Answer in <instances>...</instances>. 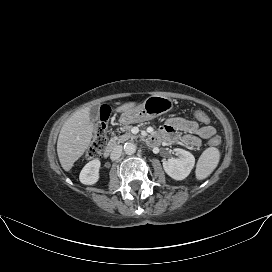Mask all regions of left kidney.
Returning a JSON list of instances; mask_svg holds the SVG:
<instances>
[{"mask_svg": "<svg viewBox=\"0 0 272 272\" xmlns=\"http://www.w3.org/2000/svg\"><path fill=\"white\" fill-rule=\"evenodd\" d=\"M177 158H170L163 162L165 172L175 180L185 179L191 172L195 164L194 156L183 149H174Z\"/></svg>", "mask_w": 272, "mask_h": 272, "instance_id": "left-kidney-1", "label": "left kidney"}]
</instances>
